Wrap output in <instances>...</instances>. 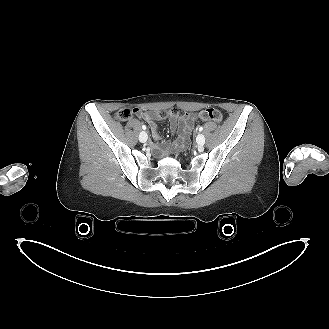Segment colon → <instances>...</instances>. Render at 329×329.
Listing matches in <instances>:
<instances>
[{
	"instance_id": "1",
	"label": "colon",
	"mask_w": 329,
	"mask_h": 329,
	"mask_svg": "<svg viewBox=\"0 0 329 329\" xmlns=\"http://www.w3.org/2000/svg\"><path fill=\"white\" fill-rule=\"evenodd\" d=\"M140 109H135V110H129V109H123L120 110L116 115L115 118L119 119L121 121H126L129 120L134 113H138L140 112ZM198 118L201 119L202 121H215V122H222L223 120V115L222 113L215 108H208V109H204L202 111H200L197 114Z\"/></svg>"
}]
</instances>
